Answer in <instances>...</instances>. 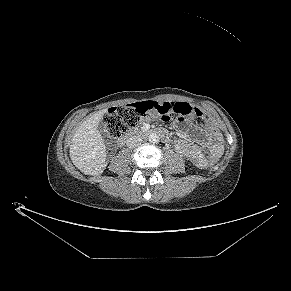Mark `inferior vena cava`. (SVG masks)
I'll return each instance as SVG.
<instances>
[{"mask_svg": "<svg viewBox=\"0 0 291 291\" xmlns=\"http://www.w3.org/2000/svg\"><path fill=\"white\" fill-rule=\"evenodd\" d=\"M141 138L138 136H131L126 140V145L130 148L136 147L141 144Z\"/></svg>", "mask_w": 291, "mask_h": 291, "instance_id": "inferior-vena-cava-1", "label": "inferior vena cava"}]
</instances>
